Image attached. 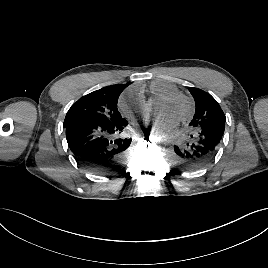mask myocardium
Listing matches in <instances>:
<instances>
[{
    "mask_svg": "<svg viewBox=\"0 0 268 268\" xmlns=\"http://www.w3.org/2000/svg\"><path fill=\"white\" fill-rule=\"evenodd\" d=\"M178 99L184 101L186 104L185 113L178 119V122L184 123L188 121L194 113V103L190 96H188L187 94L183 92L175 91V92H171L159 98V101L171 102V101L178 100Z\"/></svg>",
    "mask_w": 268,
    "mask_h": 268,
    "instance_id": "f54148a6",
    "label": "myocardium"
}]
</instances>
